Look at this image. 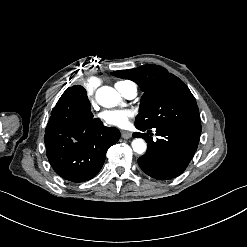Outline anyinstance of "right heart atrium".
<instances>
[{
    "mask_svg": "<svg viewBox=\"0 0 247 247\" xmlns=\"http://www.w3.org/2000/svg\"><path fill=\"white\" fill-rule=\"evenodd\" d=\"M103 86V79L100 76H93L90 82H86L83 85V92L86 95H93L96 89H100Z\"/></svg>",
    "mask_w": 247,
    "mask_h": 247,
    "instance_id": "obj_1",
    "label": "right heart atrium"
}]
</instances>
